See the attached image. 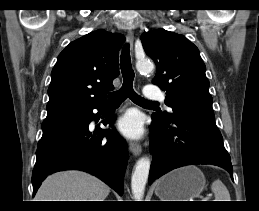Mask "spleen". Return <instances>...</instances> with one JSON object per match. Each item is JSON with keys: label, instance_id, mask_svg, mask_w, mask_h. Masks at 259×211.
Here are the masks:
<instances>
[{"label": "spleen", "instance_id": "1", "mask_svg": "<svg viewBox=\"0 0 259 211\" xmlns=\"http://www.w3.org/2000/svg\"><path fill=\"white\" fill-rule=\"evenodd\" d=\"M211 189L215 195V201H231L229 191L221 180H215Z\"/></svg>", "mask_w": 259, "mask_h": 211}]
</instances>
